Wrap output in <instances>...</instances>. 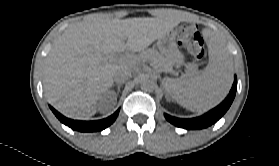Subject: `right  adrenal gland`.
<instances>
[{"instance_id": "right-adrenal-gland-1", "label": "right adrenal gland", "mask_w": 279, "mask_h": 166, "mask_svg": "<svg viewBox=\"0 0 279 166\" xmlns=\"http://www.w3.org/2000/svg\"><path fill=\"white\" fill-rule=\"evenodd\" d=\"M123 82H120V83H116V86H117V94H119L120 92V87L122 86ZM115 86V85H113Z\"/></svg>"}]
</instances>
